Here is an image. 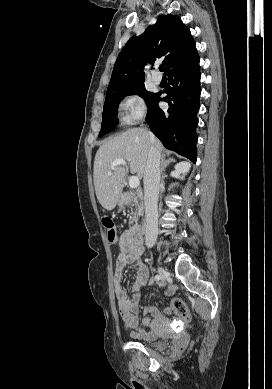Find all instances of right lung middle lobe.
Here are the masks:
<instances>
[{
	"mask_svg": "<svg viewBox=\"0 0 272 389\" xmlns=\"http://www.w3.org/2000/svg\"><path fill=\"white\" fill-rule=\"evenodd\" d=\"M135 94L144 98L148 107L152 104V102L155 100L157 96V93H151L146 91L144 87V83L108 93L106 95V99L104 103L102 126H101V131L99 133V137L113 130L114 127L118 124L117 109L120 101L125 96L135 95Z\"/></svg>",
	"mask_w": 272,
	"mask_h": 389,
	"instance_id": "dd1d6c3e",
	"label": "right lung middle lobe"
}]
</instances>
